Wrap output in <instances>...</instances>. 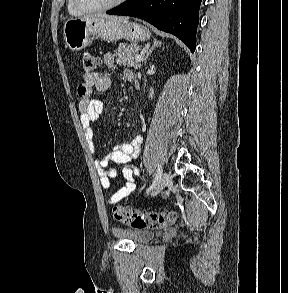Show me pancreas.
Segmentation results:
<instances>
[{"instance_id": "cf45deb5", "label": "pancreas", "mask_w": 288, "mask_h": 293, "mask_svg": "<svg viewBox=\"0 0 288 293\" xmlns=\"http://www.w3.org/2000/svg\"><path fill=\"white\" fill-rule=\"evenodd\" d=\"M139 50L140 48L137 45L127 46L126 44L121 43L118 49L115 50L117 63L127 67H134V69L140 68V62L135 60V57L139 55Z\"/></svg>"}]
</instances>
